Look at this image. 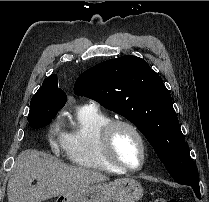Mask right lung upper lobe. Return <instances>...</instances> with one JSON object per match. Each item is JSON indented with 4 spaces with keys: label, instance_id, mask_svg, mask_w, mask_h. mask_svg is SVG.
Segmentation results:
<instances>
[{
    "label": "right lung upper lobe",
    "instance_id": "obj_1",
    "mask_svg": "<svg viewBox=\"0 0 209 202\" xmlns=\"http://www.w3.org/2000/svg\"><path fill=\"white\" fill-rule=\"evenodd\" d=\"M38 91L53 92L54 97L49 101L50 104L58 107H63L66 103V94L64 91L58 88V80L56 74H52L48 78H46Z\"/></svg>",
    "mask_w": 209,
    "mask_h": 202
}]
</instances>
